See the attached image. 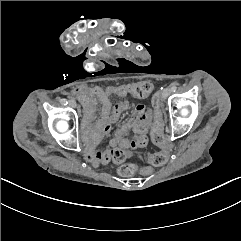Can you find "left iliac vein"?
Here are the masks:
<instances>
[{
  "label": "left iliac vein",
  "instance_id": "obj_1",
  "mask_svg": "<svg viewBox=\"0 0 241 241\" xmlns=\"http://www.w3.org/2000/svg\"><path fill=\"white\" fill-rule=\"evenodd\" d=\"M169 95H170V89L169 88H165L163 90V93H162L163 100H166L169 97Z\"/></svg>",
  "mask_w": 241,
  "mask_h": 241
}]
</instances>
